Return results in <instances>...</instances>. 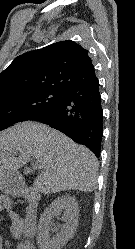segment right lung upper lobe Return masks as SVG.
Listing matches in <instances>:
<instances>
[{"mask_svg": "<svg viewBox=\"0 0 135 249\" xmlns=\"http://www.w3.org/2000/svg\"><path fill=\"white\" fill-rule=\"evenodd\" d=\"M96 78L88 50L71 40L26 52L0 73V97L34 91L64 92Z\"/></svg>", "mask_w": 135, "mask_h": 249, "instance_id": "1", "label": "right lung upper lobe"}]
</instances>
